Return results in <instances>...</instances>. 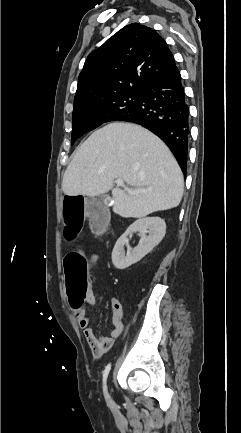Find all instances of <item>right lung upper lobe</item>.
I'll return each mask as SVG.
<instances>
[{"instance_id":"right-lung-upper-lobe-1","label":"right lung upper lobe","mask_w":241,"mask_h":433,"mask_svg":"<svg viewBox=\"0 0 241 433\" xmlns=\"http://www.w3.org/2000/svg\"><path fill=\"white\" fill-rule=\"evenodd\" d=\"M176 68L165 40L154 30L132 23L87 57L74 104L127 91H142Z\"/></svg>"}]
</instances>
